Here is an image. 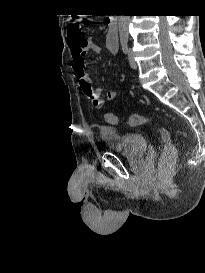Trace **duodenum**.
I'll return each instance as SVG.
<instances>
[{"label":"duodenum","mask_w":205,"mask_h":273,"mask_svg":"<svg viewBox=\"0 0 205 273\" xmlns=\"http://www.w3.org/2000/svg\"><path fill=\"white\" fill-rule=\"evenodd\" d=\"M107 27L116 34L117 29V17L115 15L108 16L106 18Z\"/></svg>","instance_id":"410a0bca"}]
</instances>
